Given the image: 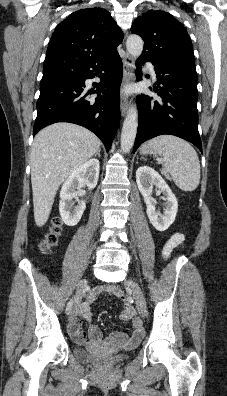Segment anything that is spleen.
<instances>
[{
    "label": "spleen",
    "instance_id": "3e777b00",
    "mask_svg": "<svg viewBox=\"0 0 227 396\" xmlns=\"http://www.w3.org/2000/svg\"><path fill=\"white\" fill-rule=\"evenodd\" d=\"M148 144L162 156V166L183 191L195 190L200 182V163L194 148L176 136L161 135Z\"/></svg>",
    "mask_w": 227,
    "mask_h": 396
}]
</instances>
